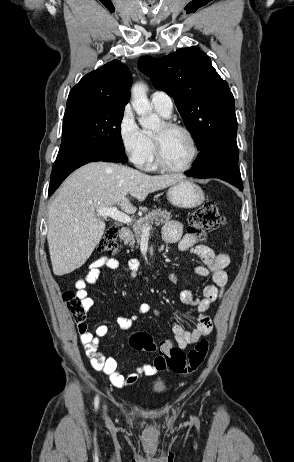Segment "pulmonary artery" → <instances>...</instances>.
I'll use <instances>...</instances> for the list:
<instances>
[{"instance_id":"1","label":"pulmonary artery","mask_w":294,"mask_h":462,"mask_svg":"<svg viewBox=\"0 0 294 462\" xmlns=\"http://www.w3.org/2000/svg\"><path fill=\"white\" fill-rule=\"evenodd\" d=\"M151 103L155 109L167 116L171 115L173 112V100L166 92H153L151 95Z\"/></svg>"}]
</instances>
